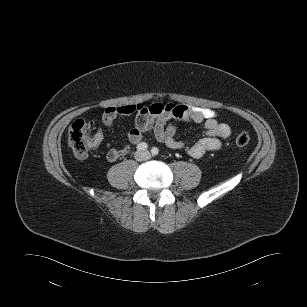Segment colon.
Here are the masks:
<instances>
[{
	"instance_id": "5ec220e1",
	"label": "colon",
	"mask_w": 307,
	"mask_h": 307,
	"mask_svg": "<svg viewBox=\"0 0 307 307\" xmlns=\"http://www.w3.org/2000/svg\"><path fill=\"white\" fill-rule=\"evenodd\" d=\"M92 128L93 123L84 120H77L71 125L68 142L76 157H87L89 151L93 148ZM233 141L236 146L244 147L248 145L250 137L246 132H241L234 137Z\"/></svg>"
}]
</instances>
